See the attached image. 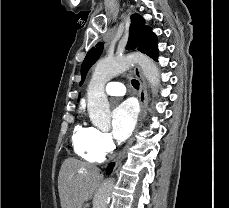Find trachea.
<instances>
[{"label":"trachea","instance_id":"1","mask_svg":"<svg viewBox=\"0 0 229 208\" xmlns=\"http://www.w3.org/2000/svg\"><path fill=\"white\" fill-rule=\"evenodd\" d=\"M131 83L133 85L134 88L138 89L139 88V82L138 80L132 79Z\"/></svg>","mask_w":229,"mask_h":208}]
</instances>
